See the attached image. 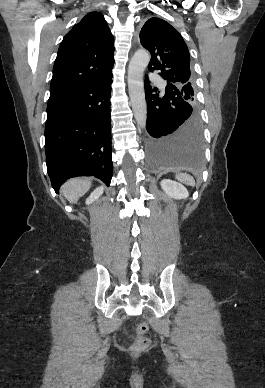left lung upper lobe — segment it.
<instances>
[{
    "instance_id": "1",
    "label": "left lung upper lobe",
    "mask_w": 265,
    "mask_h": 388,
    "mask_svg": "<svg viewBox=\"0 0 265 388\" xmlns=\"http://www.w3.org/2000/svg\"><path fill=\"white\" fill-rule=\"evenodd\" d=\"M140 42L151 54L148 69L160 70L167 84L177 87L184 101L196 107L190 55L180 33L168 22L150 18L140 31Z\"/></svg>"
}]
</instances>
